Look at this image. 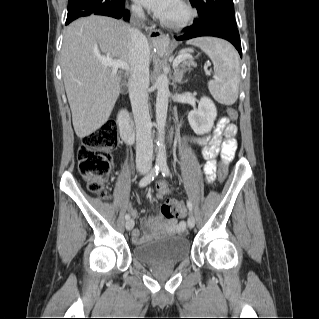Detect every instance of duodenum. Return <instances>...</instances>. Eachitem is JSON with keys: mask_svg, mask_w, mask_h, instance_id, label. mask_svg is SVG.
<instances>
[{"mask_svg": "<svg viewBox=\"0 0 319 319\" xmlns=\"http://www.w3.org/2000/svg\"><path fill=\"white\" fill-rule=\"evenodd\" d=\"M121 138L125 143L131 144L134 139V129L130 114L125 109H120L117 116Z\"/></svg>", "mask_w": 319, "mask_h": 319, "instance_id": "obj_1", "label": "duodenum"}]
</instances>
